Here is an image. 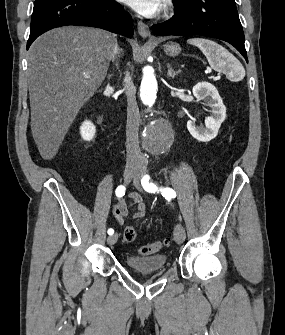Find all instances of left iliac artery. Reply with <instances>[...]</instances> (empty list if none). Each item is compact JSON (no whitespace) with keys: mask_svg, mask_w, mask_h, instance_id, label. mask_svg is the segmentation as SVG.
Listing matches in <instances>:
<instances>
[{"mask_svg":"<svg viewBox=\"0 0 285 335\" xmlns=\"http://www.w3.org/2000/svg\"><path fill=\"white\" fill-rule=\"evenodd\" d=\"M150 176L149 175H145L143 176L142 180H141V184L143 186V188L145 189V191L150 192V193H155V192H161L163 197H171V198H175L176 197V193L173 189L171 188H160L158 189V187L150 181Z\"/></svg>","mask_w":285,"mask_h":335,"instance_id":"1","label":"left iliac artery"}]
</instances>
